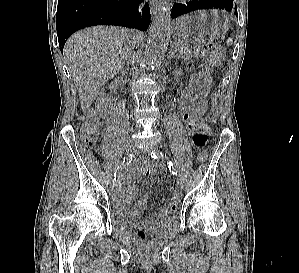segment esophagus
<instances>
[{"instance_id":"34e87169","label":"esophagus","mask_w":299,"mask_h":273,"mask_svg":"<svg viewBox=\"0 0 299 273\" xmlns=\"http://www.w3.org/2000/svg\"><path fill=\"white\" fill-rule=\"evenodd\" d=\"M160 5H161V2H159L158 0H150L151 12L154 13Z\"/></svg>"}]
</instances>
